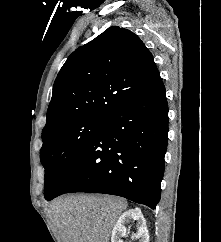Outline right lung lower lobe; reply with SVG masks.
I'll return each mask as SVG.
<instances>
[{
  "mask_svg": "<svg viewBox=\"0 0 221 242\" xmlns=\"http://www.w3.org/2000/svg\"><path fill=\"white\" fill-rule=\"evenodd\" d=\"M160 76L103 123L71 160L49 198L70 192L118 195L156 208L168 142V104Z\"/></svg>",
  "mask_w": 221,
  "mask_h": 242,
  "instance_id": "98d812e1",
  "label": "right lung lower lobe"
}]
</instances>
